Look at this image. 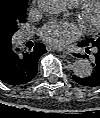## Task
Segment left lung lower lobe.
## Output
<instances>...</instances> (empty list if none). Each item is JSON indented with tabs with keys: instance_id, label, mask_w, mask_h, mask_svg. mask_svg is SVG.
<instances>
[{
	"instance_id": "0a47b994",
	"label": "left lung lower lobe",
	"mask_w": 100,
	"mask_h": 118,
	"mask_svg": "<svg viewBox=\"0 0 100 118\" xmlns=\"http://www.w3.org/2000/svg\"><path fill=\"white\" fill-rule=\"evenodd\" d=\"M79 47H85L86 52L88 54H90L89 49L93 48L94 57H93V63H91L93 66V72L91 73L90 76L84 78H80L74 75L73 76L74 81H76L80 85L87 86V87L100 86V41L93 44L82 42L79 44ZM76 56L82 58L84 57L88 58V55L77 54Z\"/></svg>"
}]
</instances>
